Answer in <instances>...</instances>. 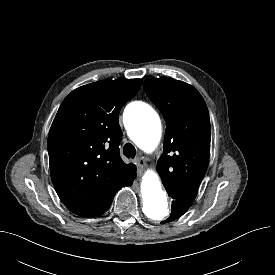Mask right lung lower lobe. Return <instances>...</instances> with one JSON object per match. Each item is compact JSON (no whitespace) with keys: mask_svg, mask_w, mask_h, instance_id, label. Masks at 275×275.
I'll return each mask as SVG.
<instances>
[{"mask_svg":"<svg viewBox=\"0 0 275 275\" xmlns=\"http://www.w3.org/2000/svg\"><path fill=\"white\" fill-rule=\"evenodd\" d=\"M135 177H136V173L129 179L127 186L132 184V181L135 179Z\"/></svg>","mask_w":275,"mask_h":275,"instance_id":"right-lung-lower-lobe-1","label":"right lung lower lobe"}]
</instances>
